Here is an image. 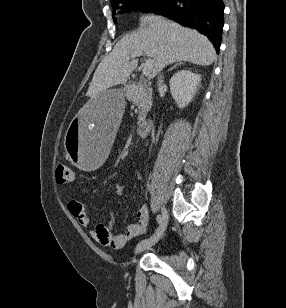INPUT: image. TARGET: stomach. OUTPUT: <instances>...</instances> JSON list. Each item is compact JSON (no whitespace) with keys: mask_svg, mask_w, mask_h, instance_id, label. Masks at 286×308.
Masks as SVG:
<instances>
[{"mask_svg":"<svg viewBox=\"0 0 286 308\" xmlns=\"http://www.w3.org/2000/svg\"><path fill=\"white\" fill-rule=\"evenodd\" d=\"M125 91V85H108L95 97H88L84 109L66 122V154L78 171H97L109 160L115 133L121 129Z\"/></svg>","mask_w":286,"mask_h":308,"instance_id":"0dacf381","label":"stomach"}]
</instances>
